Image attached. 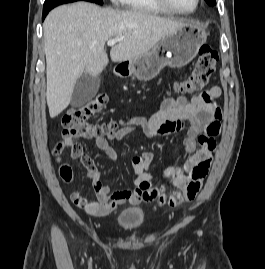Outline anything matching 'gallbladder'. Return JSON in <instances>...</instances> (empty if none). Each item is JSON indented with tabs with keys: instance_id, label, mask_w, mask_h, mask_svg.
<instances>
[{
	"instance_id": "gallbladder-1",
	"label": "gallbladder",
	"mask_w": 265,
	"mask_h": 269,
	"mask_svg": "<svg viewBox=\"0 0 265 269\" xmlns=\"http://www.w3.org/2000/svg\"><path fill=\"white\" fill-rule=\"evenodd\" d=\"M101 79L99 76L93 77L89 74L81 75L75 83L71 106L81 107L89 102L98 92Z\"/></svg>"
}]
</instances>
